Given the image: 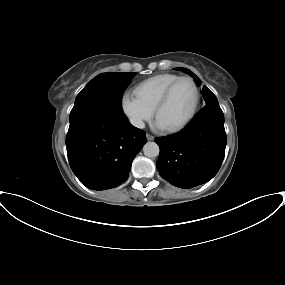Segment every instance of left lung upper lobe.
Masks as SVG:
<instances>
[{
    "label": "left lung upper lobe",
    "instance_id": "left-lung-upper-lobe-1",
    "mask_svg": "<svg viewBox=\"0 0 285 285\" xmlns=\"http://www.w3.org/2000/svg\"><path fill=\"white\" fill-rule=\"evenodd\" d=\"M175 69L176 70H182L186 73H189L191 76H193L195 78L194 81L196 82V84L197 85L200 84L201 81L192 71H190L186 68H175ZM202 95H203V98L206 102V105L200 111L205 110V109H220L217 98L206 86L203 87Z\"/></svg>",
    "mask_w": 285,
    "mask_h": 285
}]
</instances>
